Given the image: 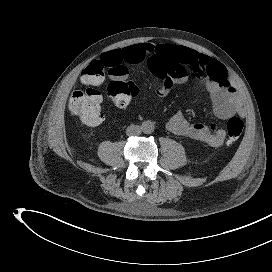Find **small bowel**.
<instances>
[{"label": "small bowel", "instance_id": "small-bowel-1", "mask_svg": "<svg viewBox=\"0 0 272 272\" xmlns=\"http://www.w3.org/2000/svg\"><path fill=\"white\" fill-rule=\"evenodd\" d=\"M145 60L153 74L159 78L156 89L158 96H167L192 76L205 85L218 118L244 115L242 98L226 68L217 60L190 48L170 43H141L108 51L98 61L108 68L120 66L127 71V65L140 64ZM167 128L176 135L215 148L221 147L226 139V131L217 128L214 122L209 125L191 123L182 113L174 114Z\"/></svg>", "mask_w": 272, "mask_h": 272}]
</instances>
